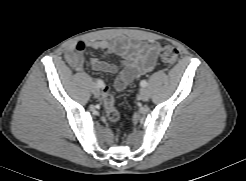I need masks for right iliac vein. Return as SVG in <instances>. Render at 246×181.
Instances as JSON below:
<instances>
[{
    "instance_id": "obj_1",
    "label": "right iliac vein",
    "mask_w": 246,
    "mask_h": 181,
    "mask_svg": "<svg viewBox=\"0 0 246 181\" xmlns=\"http://www.w3.org/2000/svg\"><path fill=\"white\" fill-rule=\"evenodd\" d=\"M93 94L98 97L100 95V89L98 87H94Z\"/></svg>"
}]
</instances>
